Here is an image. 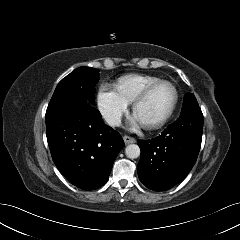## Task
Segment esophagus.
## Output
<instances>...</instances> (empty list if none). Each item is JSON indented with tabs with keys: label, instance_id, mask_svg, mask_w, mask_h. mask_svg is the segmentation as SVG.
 <instances>
[{
	"label": "esophagus",
	"instance_id": "esophagus-1",
	"mask_svg": "<svg viewBox=\"0 0 240 240\" xmlns=\"http://www.w3.org/2000/svg\"><path fill=\"white\" fill-rule=\"evenodd\" d=\"M123 139H124V142H125V144H131V143H135V139L133 138V137H130V136H124L123 137Z\"/></svg>",
	"mask_w": 240,
	"mask_h": 240
}]
</instances>
